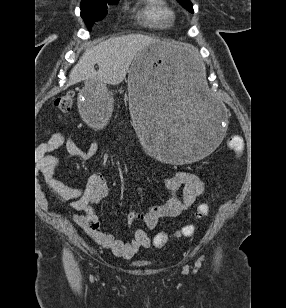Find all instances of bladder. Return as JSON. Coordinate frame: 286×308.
<instances>
[{
  "label": "bladder",
  "mask_w": 286,
  "mask_h": 308,
  "mask_svg": "<svg viewBox=\"0 0 286 308\" xmlns=\"http://www.w3.org/2000/svg\"><path fill=\"white\" fill-rule=\"evenodd\" d=\"M132 263L135 264V265L141 266V267L147 265V262L143 261V260H134Z\"/></svg>",
  "instance_id": "obj_1"
}]
</instances>
